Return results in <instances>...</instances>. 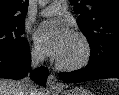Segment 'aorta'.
Instances as JSON below:
<instances>
[{"instance_id": "1", "label": "aorta", "mask_w": 119, "mask_h": 95, "mask_svg": "<svg viewBox=\"0 0 119 95\" xmlns=\"http://www.w3.org/2000/svg\"><path fill=\"white\" fill-rule=\"evenodd\" d=\"M49 0H39V4L41 6H45L46 4H48Z\"/></svg>"}]
</instances>
